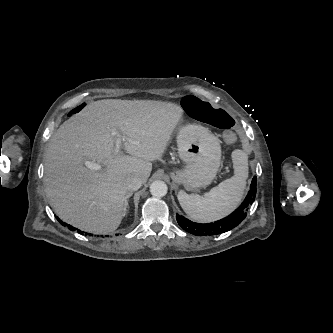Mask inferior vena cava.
Instances as JSON below:
<instances>
[{"instance_id":"inferior-vena-cava-1","label":"inferior vena cava","mask_w":333,"mask_h":333,"mask_svg":"<svg viewBox=\"0 0 333 333\" xmlns=\"http://www.w3.org/2000/svg\"><path fill=\"white\" fill-rule=\"evenodd\" d=\"M142 185V181L140 178L137 177H128L125 180V188L127 191H136L138 190Z\"/></svg>"}]
</instances>
